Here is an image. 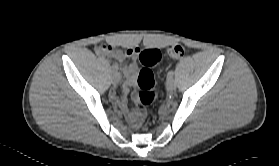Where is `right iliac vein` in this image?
Segmentation results:
<instances>
[{
	"instance_id": "1",
	"label": "right iliac vein",
	"mask_w": 279,
	"mask_h": 166,
	"mask_svg": "<svg viewBox=\"0 0 279 166\" xmlns=\"http://www.w3.org/2000/svg\"><path fill=\"white\" fill-rule=\"evenodd\" d=\"M119 81H120V75H119V73L115 72V73L113 74V77H112V83H113L114 85H116V84L119 83Z\"/></svg>"
}]
</instances>
